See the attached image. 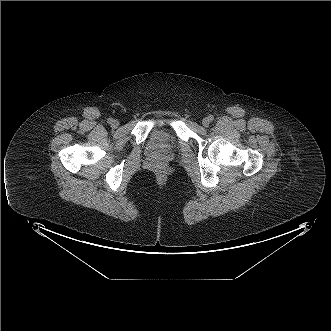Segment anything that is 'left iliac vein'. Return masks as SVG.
<instances>
[{
  "label": "left iliac vein",
  "mask_w": 331,
  "mask_h": 331,
  "mask_svg": "<svg viewBox=\"0 0 331 331\" xmlns=\"http://www.w3.org/2000/svg\"><path fill=\"white\" fill-rule=\"evenodd\" d=\"M202 124H203L204 127H208L209 124H210V120H209V118H204V119L202 120Z\"/></svg>",
  "instance_id": "1"
}]
</instances>
